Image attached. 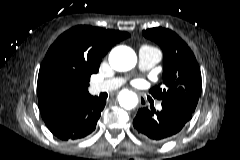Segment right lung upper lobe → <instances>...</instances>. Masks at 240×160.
<instances>
[{"mask_svg":"<svg viewBox=\"0 0 240 160\" xmlns=\"http://www.w3.org/2000/svg\"><path fill=\"white\" fill-rule=\"evenodd\" d=\"M126 32L76 26L60 35L41 64L37 94L39 108L55 101L74 99L68 83L97 73L102 57Z\"/></svg>","mask_w":240,"mask_h":160,"instance_id":"right-lung-upper-lobe-1","label":"right lung upper lobe"}]
</instances>
